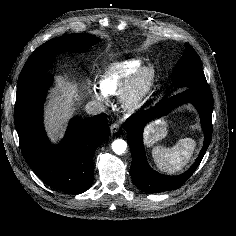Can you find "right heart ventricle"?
<instances>
[{
	"instance_id": "1",
	"label": "right heart ventricle",
	"mask_w": 236,
	"mask_h": 236,
	"mask_svg": "<svg viewBox=\"0 0 236 236\" xmlns=\"http://www.w3.org/2000/svg\"><path fill=\"white\" fill-rule=\"evenodd\" d=\"M143 66L141 59L131 58L111 65L100 77V88L106 95H119Z\"/></svg>"
}]
</instances>
